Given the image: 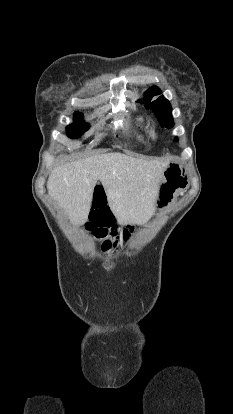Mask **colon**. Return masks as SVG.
<instances>
[{"mask_svg":"<svg viewBox=\"0 0 233 414\" xmlns=\"http://www.w3.org/2000/svg\"><path fill=\"white\" fill-rule=\"evenodd\" d=\"M89 225L94 229L98 238L104 239L103 249H109L125 241L130 236L131 227H119L113 220L110 212L92 211Z\"/></svg>","mask_w":233,"mask_h":414,"instance_id":"colon-1","label":"colon"}]
</instances>
